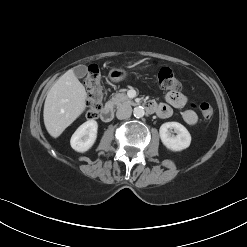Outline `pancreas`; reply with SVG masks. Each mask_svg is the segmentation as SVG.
Returning <instances> with one entry per match:
<instances>
[{
    "mask_svg": "<svg viewBox=\"0 0 247 247\" xmlns=\"http://www.w3.org/2000/svg\"><path fill=\"white\" fill-rule=\"evenodd\" d=\"M111 102L115 106H121V105H124V104L134 105V102L123 92L122 93H116L111 98Z\"/></svg>",
    "mask_w": 247,
    "mask_h": 247,
    "instance_id": "1",
    "label": "pancreas"
}]
</instances>
